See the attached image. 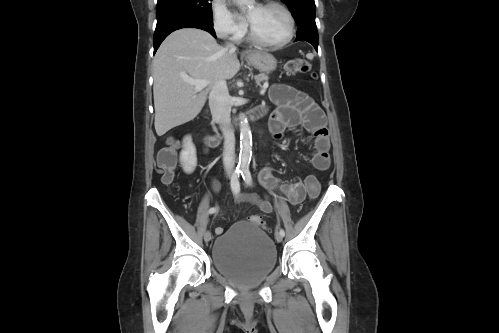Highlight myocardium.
Listing matches in <instances>:
<instances>
[{
    "label": "myocardium",
    "mask_w": 499,
    "mask_h": 333,
    "mask_svg": "<svg viewBox=\"0 0 499 333\" xmlns=\"http://www.w3.org/2000/svg\"><path fill=\"white\" fill-rule=\"evenodd\" d=\"M263 7H276V8H279L281 9L287 19H288V23H289V28H288V33L286 35V37L282 40H279V41H275V42H271V41H266L264 39H262L261 37H259L256 32L253 30L252 26L249 24L248 25V35L250 37V39L260 45V46H264V47H282L286 44H288L294 37V34H295V19H294V16L292 14V12L290 11V9L284 5L283 3L281 2H278V1H273V0H268L266 2H264L262 4Z\"/></svg>",
    "instance_id": "obj_1"
}]
</instances>
